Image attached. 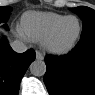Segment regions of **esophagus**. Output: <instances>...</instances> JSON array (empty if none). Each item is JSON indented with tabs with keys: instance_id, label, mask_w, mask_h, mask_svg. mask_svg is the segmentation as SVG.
Segmentation results:
<instances>
[{
	"instance_id": "obj_1",
	"label": "esophagus",
	"mask_w": 95,
	"mask_h": 95,
	"mask_svg": "<svg viewBox=\"0 0 95 95\" xmlns=\"http://www.w3.org/2000/svg\"><path fill=\"white\" fill-rule=\"evenodd\" d=\"M36 59H37V60H43V59H44V56L42 55L41 52L36 51Z\"/></svg>"
}]
</instances>
